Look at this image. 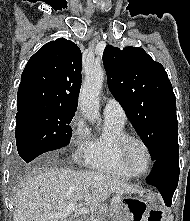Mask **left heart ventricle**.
<instances>
[{"mask_svg":"<svg viewBox=\"0 0 190 221\" xmlns=\"http://www.w3.org/2000/svg\"><path fill=\"white\" fill-rule=\"evenodd\" d=\"M127 156L130 164L137 171H144L148 164L147 153L137 142H131L128 146Z\"/></svg>","mask_w":190,"mask_h":221,"instance_id":"left-heart-ventricle-1","label":"left heart ventricle"}]
</instances>
